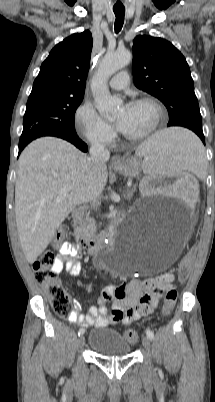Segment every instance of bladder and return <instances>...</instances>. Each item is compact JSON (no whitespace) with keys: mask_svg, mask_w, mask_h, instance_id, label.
Here are the masks:
<instances>
[{"mask_svg":"<svg viewBox=\"0 0 215 402\" xmlns=\"http://www.w3.org/2000/svg\"><path fill=\"white\" fill-rule=\"evenodd\" d=\"M88 346L95 354L106 358L125 357L131 352V345L117 330L95 328L88 337Z\"/></svg>","mask_w":215,"mask_h":402,"instance_id":"obj_1","label":"bladder"}]
</instances>
